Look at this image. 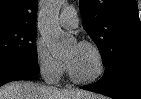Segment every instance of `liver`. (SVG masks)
Segmentation results:
<instances>
[{
  "label": "liver",
  "instance_id": "1",
  "mask_svg": "<svg viewBox=\"0 0 141 99\" xmlns=\"http://www.w3.org/2000/svg\"><path fill=\"white\" fill-rule=\"evenodd\" d=\"M0 99H99L84 90H59L29 81H14L0 87Z\"/></svg>",
  "mask_w": 141,
  "mask_h": 99
}]
</instances>
